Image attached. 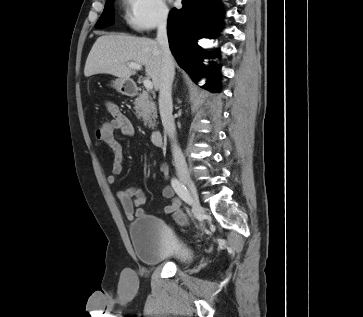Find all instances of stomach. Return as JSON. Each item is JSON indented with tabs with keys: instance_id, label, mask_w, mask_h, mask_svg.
I'll return each mask as SVG.
<instances>
[{
	"instance_id": "obj_1",
	"label": "stomach",
	"mask_w": 363,
	"mask_h": 317,
	"mask_svg": "<svg viewBox=\"0 0 363 317\" xmlns=\"http://www.w3.org/2000/svg\"><path fill=\"white\" fill-rule=\"evenodd\" d=\"M112 87L119 93L126 95L130 93L131 82L126 79L117 78L112 81Z\"/></svg>"
}]
</instances>
